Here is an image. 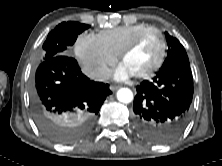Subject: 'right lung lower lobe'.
<instances>
[{"mask_svg":"<svg viewBox=\"0 0 222 166\" xmlns=\"http://www.w3.org/2000/svg\"><path fill=\"white\" fill-rule=\"evenodd\" d=\"M111 93L108 84L87 78L75 59L57 55L36 70L33 116L58 142L70 143L83 136Z\"/></svg>","mask_w":222,"mask_h":166,"instance_id":"1","label":"right lung lower lobe"}]
</instances>
